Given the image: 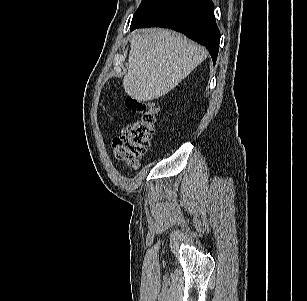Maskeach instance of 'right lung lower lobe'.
I'll list each match as a JSON object with an SVG mask.
<instances>
[{
  "label": "right lung lower lobe",
  "mask_w": 307,
  "mask_h": 301,
  "mask_svg": "<svg viewBox=\"0 0 307 301\" xmlns=\"http://www.w3.org/2000/svg\"><path fill=\"white\" fill-rule=\"evenodd\" d=\"M165 27L185 34L209 49L216 63L220 32L215 22L211 0H167L162 5L131 23V30L140 27Z\"/></svg>",
  "instance_id": "obj_1"
}]
</instances>
